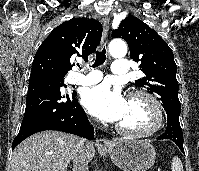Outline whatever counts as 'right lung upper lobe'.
I'll return each instance as SVG.
<instances>
[{
    "label": "right lung upper lobe",
    "mask_w": 199,
    "mask_h": 171,
    "mask_svg": "<svg viewBox=\"0 0 199 171\" xmlns=\"http://www.w3.org/2000/svg\"><path fill=\"white\" fill-rule=\"evenodd\" d=\"M102 25L97 20L76 18L63 22L44 40L33 60L31 76L64 77L72 68L71 58L87 60L100 43Z\"/></svg>",
    "instance_id": "1"
}]
</instances>
